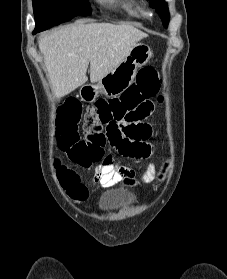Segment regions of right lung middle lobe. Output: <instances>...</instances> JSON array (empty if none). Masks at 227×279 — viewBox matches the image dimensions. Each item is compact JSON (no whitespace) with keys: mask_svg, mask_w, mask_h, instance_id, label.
I'll return each mask as SVG.
<instances>
[{"mask_svg":"<svg viewBox=\"0 0 227 279\" xmlns=\"http://www.w3.org/2000/svg\"><path fill=\"white\" fill-rule=\"evenodd\" d=\"M35 29L43 31L71 20L74 16L91 14L87 0H33Z\"/></svg>","mask_w":227,"mask_h":279,"instance_id":"obj_1","label":"right lung middle lobe"}]
</instances>
